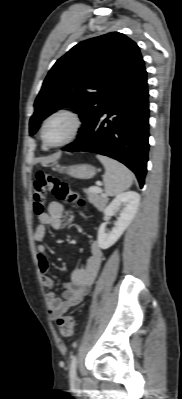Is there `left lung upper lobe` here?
Listing matches in <instances>:
<instances>
[{"label": "left lung upper lobe", "mask_w": 182, "mask_h": 399, "mask_svg": "<svg viewBox=\"0 0 182 399\" xmlns=\"http://www.w3.org/2000/svg\"><path fill=\"white\" fill-rule=\"evenodd\" d=\"M144 61L137 44L118 32L82 41L57 60L43 82L30 119V134L59 107L77 110L86 133L112 95L132 78Z\"/></svg>", "instance_id": "1"}]
</instances>
